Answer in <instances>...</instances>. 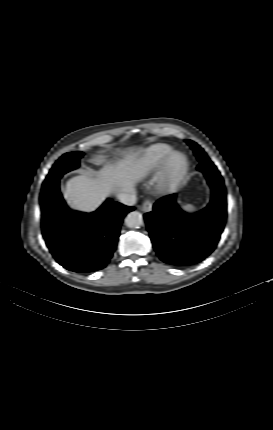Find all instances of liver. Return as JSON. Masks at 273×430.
<instances>
[{
  "instance_id": "6515ba94",
  "label": "liver",
  "mask_w": 273,
  "mask_h": 430,
  "mask_svg": "<svg viewBox=\"0 0 273 430\" xmlns=\"http://www.w3.org/2000/svg\"><path fill=\"white\" fill-rule=\"evenodd\" d=\"M143 159L127 155L115 165L105 164L95 176L79 175L67 181L63 195L75 212L96 211L112 192H134V184L145 176Z\"/></svg>"
}]
</instances>
